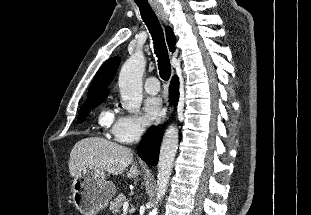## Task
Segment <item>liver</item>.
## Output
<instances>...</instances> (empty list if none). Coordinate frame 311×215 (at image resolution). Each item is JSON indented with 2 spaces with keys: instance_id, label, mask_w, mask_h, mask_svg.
<instances>
[{
  "instance_id": "obj_1",
  "label": "liver",
  "mask_w": 311,
  "mask_h": 215,
  "mask_svg": "<svg viewBox=\"0 0 311 215\" xmlns=\"http://www.w3.org/2000/svg\"><path fill=\"white\" fill-rule=\"evenodd\" d=\"M68 165L72 177L86 168L113 175L123 174L129 165L132 166L126 173L128 178L140 175L131 149L100 137H88L77 142L71 150Z\"/></svg>"
}]
</instances>
